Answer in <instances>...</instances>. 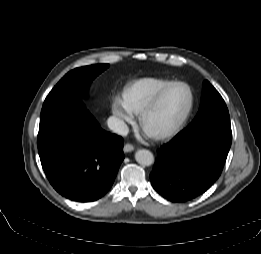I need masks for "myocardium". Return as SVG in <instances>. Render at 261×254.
Wrapping results in <instances>:
<instances>
[{
	"mask_svg": "<svg viewBox=\"0 0 261 254\" xmlns=\"http://www.w3.org/2000/svg\"><path fill=\"white\" fill-rule=\"evenodd\" d=\"M176 85H182L184 87H186L189 91L190 94V102H189V106L186 110V112L184 113V115L182 116V118L171 128L168 129H164V130H159L156 132H152V133H148L145 129V122L147 117L158 107V105L160 104L161 100L163 99V97L165 96V94L174 86ZM194 103H195V97H194V92L192 90V88L185 82L182 81H173L171 83H169L163 90L160 91V93L154 98V100L148 104L140 113L139 116V124L140 127L152 138L155 140H163V139H167L170 138L174 135H176L185 125V123L187 122L188 118L190 117L192 110L194 108Z\"/></svg>",
	"mask_w": 261,
	"mask_h": 254,
	"instance_id": "obj_1",
	"label": "myocardium"
}]
</instances>
